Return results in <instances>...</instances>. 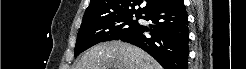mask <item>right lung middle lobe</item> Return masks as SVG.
<instances>
[{
  "instance_id": "right-lung-middle-lobe-1",
  "label": "right lung middle lobe",
  "mask_w": 246,
  "mask_h": 69,
  "mask_svg": "<svg viewBox=\"0 0 246 69\" xmlns=\"http://www.w3.org/2000/svg\"><path fill=\"white\" fill-rule=\"evenodd\" d=\"M136 17V20L133 17ZM141 14L113 15L99 20L82 21L75 45L74 56L100 42L118 40L140 24Z\"/></svg>"
}]
</instances>
